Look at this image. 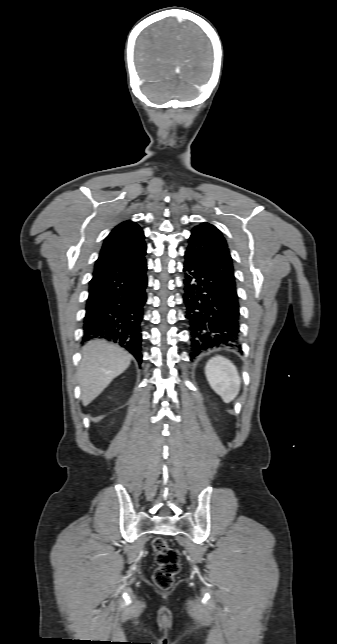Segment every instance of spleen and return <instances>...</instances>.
Here are the masks:
<instances>
[{"mask_svg":"<svg viewBox=\"0 0 337 644\" xmlns=\"http://www.w3.org/2000/svg\"><path fill=\"white\" fill-rule=\"evenodd\" d=\"M206 378L216 394L230 403L239 394L241 379L236 366L222 356L208 360L205 366Z\"/></svg>","mask_w":337,"mask_h":644,"instance_id":"spleen-1","label":"spleen"}]
</instances>
